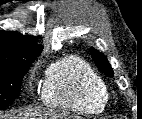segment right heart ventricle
Returning a JSON list of instances; mask_svg holds the SVG:
<instances>
[{"label":"right heart ventricle","mask_w":142,"mask_h":119,"mask_svg":"<svg viewBox=\"0 0 142 119\" xmlns=\"http://www.w3.org/2000/svg\"><path fill=\"white\" fill-rule=\"evenodd\" d=\"M42 99L49 106L96 114L104 109L108 91L103 79L85 61L68 56L47 69Z\"/></svg>","instance_id":"right-heart-ventricle-1"}]
</instances>
